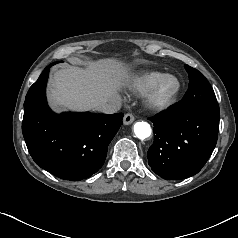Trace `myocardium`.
Here are the masks:
<instances>
[{"label":"myocardium","mask_w":238,"mask_h":238,"mask_svg":"<svg viewBox=\"0 0 238 238\" xmlns=\"http://www.w3.org/2000/svg\"><path fill=\"white\" fill-rule=\"evenodd\" d=\"M166 79L175 80L176 87L170 94L162 97L159 95V87L161 83ZM181 89L182 83L179 77L174 74L165 73L161 75L158 79H156L144 93V105L148 110L153 112L166 110L176 103L180 95Z\"/></svg>","instance_id":"1"}]
</instances>
